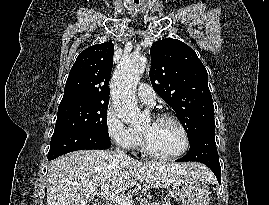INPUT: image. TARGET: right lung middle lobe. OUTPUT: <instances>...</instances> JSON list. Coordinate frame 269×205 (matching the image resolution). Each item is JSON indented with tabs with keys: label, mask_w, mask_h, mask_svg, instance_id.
Masks as SVG:
<instances>
[{
	"label": "right lung middle lobe",
	"mask_w": 269,
	"mask_h": 205,
	"mask_svg": "<svg viewBox=\"0 0 269 205\" xmlns=\"http://www.w3.org/2000/svg\"><path fill=\"white\" fill-rule=\"evenodd\" d=\"M109 103H77L59 106L54 132L78 130L109 138L107 109Z\"/></svg>",
	"instance_id": "1"
}]
</instances>
